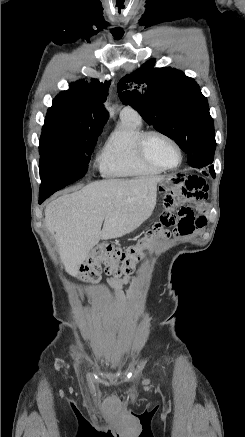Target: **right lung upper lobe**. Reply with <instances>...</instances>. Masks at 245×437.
Instances as JSON below:
<instances>
[{"label":"right lung upper lobe","instance_id":"obj_1","mask_svg":"<svg viewBox=\"0 0 245 437\" xmlns=\"http://www.w3.org/2000/svg\"><path fill=\"white\" fill-rule=\"evenodd\" d=\"M110 82L100 83L84 79L69 84V90L61 92L53 99L48 112H56L67 117L92 124L103 125L108 119V112L103 102L108 94Z\"/></svg>","mask_w":245,"mask_h":437}]
</instances>
